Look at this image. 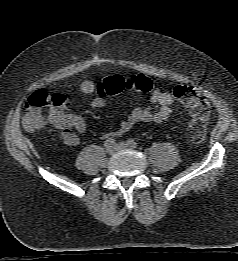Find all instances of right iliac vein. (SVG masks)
<instances>
[{"mask_svg":"<svg viewBox=\"0 0 238 261\" xmlns=\"http://www.w3.org/2000/svg\"><path fill=\"white\" fill-rule=\"evenodd\" d=\"M106 152L109 154V155H112L116 152V147L113 145L111 147H108L106 148Z\"/></svg>","mask_w":238,"mask_h":261,"instance_id":"1","label":"right iliac vein"}]
</instances>
